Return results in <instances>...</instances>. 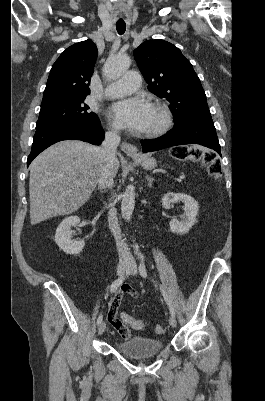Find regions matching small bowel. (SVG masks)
Here are the masks:
<instances>
[{
    "label": "small bowel",
    "mask_w": 265,
    "mask_h": 401,
    "mask_svg": "<svg viewBox=\"0 0 265 401\" xmlns=\"http://www.w3.org/2000/svg\"><path fill=\"white\" fill-rule=\"evenodd\" d=\"M124 295L136 296L137 293L133 288L128 285L122 286L116 296L112 299L109 306V312L112 311L114 314H117L118 307Z\"/></svg>",
    "instance_id": "small-bowel-1"
}]
</instances>
